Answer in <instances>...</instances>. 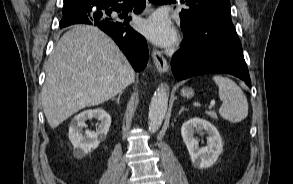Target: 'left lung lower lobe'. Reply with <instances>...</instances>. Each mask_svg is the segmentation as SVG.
<instances>
[{
	"mask_svg": "<svg viewBox=\"0 0 293 184\" xmlns=\"http://www.w3.org/2000/svg\"><path fill=\"white\" fill-rule=\"evenodd\" d=\"M180 18L185 37L171 60L172 72L178 80L204 73H227L251 87L231 16L212 9H197L193 16L181 12Z\"/></svg>",
	"mask_w": 293,
	"mask_h": 184,
	"instance_id": "1",
	"label": "left lung lower lobe"
}]
</instances>
